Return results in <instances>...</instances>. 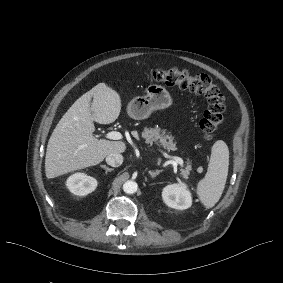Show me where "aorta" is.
Instances as JSON below:
<instances>
[{
    "label": "aorta",
    "instance_id": "1",
    "mask_svg": "<svg viewBox=\"0 0 283 283\" xmlns=\"http://www.w3.org/2000/svg\"><path fill=\"white\" fill-rule=\"evenodd\" d=\"M138 189V185L135 181L128 180L123 184V190L127 194H134Z\"/></svg>",
    "mask_w": 283,
    "mask_h": 283
}]
</instances>
